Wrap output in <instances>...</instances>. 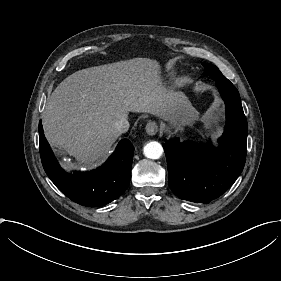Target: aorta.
Here are the masks:
<instances>
[{
    "instance_id": "obj_1",
    "label": "aorta",
    "mask_w": 281,
    "mask_h": 281,
    "mask_svg": "<svg viewBox=\"0 0 281 281\" xmlns=\"http://www.w3.org/2000/svg\"><path fill=\"white\" fill-rule=\"evenodd\" d=\"M163 154V147L159 142L151 141L144 146V155L149 159H159Z\"/></svg>"
}]
</instances>
